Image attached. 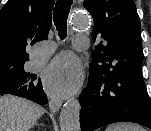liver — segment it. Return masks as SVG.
I'll list each match as a JSON object with an SVG mask.
<instances>
[{
	"label": "liver",
	"instance_id": "6515ba94",
	"mask_svg": "<svg viewBox=\"0 0 151 131\" xmlns=\"http://www.w3.org/2000/svg\"><path fill=\"white\" fill-rule=\"evenodd\" d=\"M45 110L24 98L0 97V131H29Z\"/></svg>",
	"mask_w": 151,
	"mask_h": 131
}]
</instances>
